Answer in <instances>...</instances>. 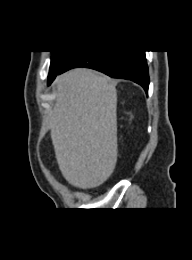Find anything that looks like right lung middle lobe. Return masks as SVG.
<instances>
[{
	"instance_id": "1",
	"label": "right lung middle lobe",
	"mask_w": 192,
	"mask_h": 260,
	"mask_svg": "<svg viewBox=\"0 0 192 260\" xmlns=\"http://www.w3.org/2000/svg\"><path fill=\"white\" fill-rule=\"evenodd\" d=\"M75 54L72 51H52L48 80L56 76Z\"/></svg>"
}]
</instances>
